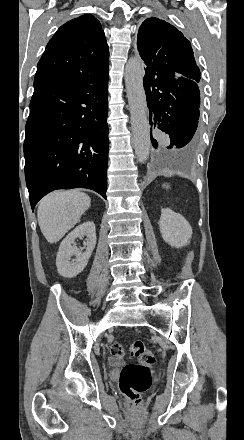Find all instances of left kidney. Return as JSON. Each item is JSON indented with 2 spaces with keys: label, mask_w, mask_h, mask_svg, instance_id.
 Masks as SVG:
<instances>
[{
  "label": "left kidney",
  "mask_w": 244,
  "mask_h": 440,
  "mask_svg": "<svg viewBox=\"0 0 244 440\" xmlns=\"http://www.w3.org/2000/svg\"><path fill=\"white\" fill-rule=\"evenodd\" d=\"M159 228L163 240L173 248H182V246L190 244L189 240L192 238L191 226L181 214H176L170 208H162Z\"/></svg>",
  "instance_id": "obj_1"
}]
</instances>
